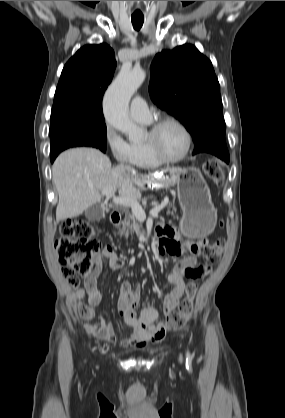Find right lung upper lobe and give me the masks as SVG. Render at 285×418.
Segmentation results:
<instances>
[{
	"label": "right lung upper lobe",
	"mask_w": 285,
	"mask_h": 418,
	"mask_svg": "<svg viewBox=\"0 0 285 418\" xmlns=\"http://www.w3.org/2000/svg\"><path fill=\"white\" fill-rule=\"evenodd\" d=\"M116 67L114 51L105 43L86 45L64 66L53 105L102 107V97Z\"/></svg>",
	"instance_id": "obj_1"
}]
</instances>
